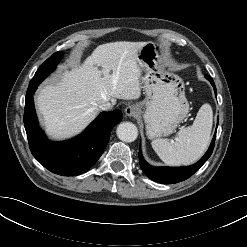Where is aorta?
I'll use <instances>...</instances> for the list:
<instances>
[{"label": "aorta", "instance_id": "obj_1", "mask_svg": "<svg viewBox=\"0 0 247 247\" xmlns=\"http://www.w3.org/2000/svg\"><path fill=\"white\" fill-rule=\"evenodd\" d=\"M117 136L121 141L133 142L138 136V129L131 122L120 123L116 130Z\"/></svg>", "mask_w": 247, "mask_h": 247}]
</instances>
